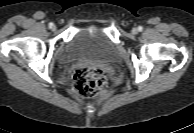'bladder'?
<instances>
[{
  "mask_svg": "<svg viewBox=\"0 0 194 133\" xmlns=\"http://www.w3.org/2000/svg\"><path fill=\"white\" fill-rule=\"evenodd\" d=\"M117 59L116 44L103 29L98 27H85L77 31L60 56L63 63L78 61L110 63Z\"/></svg>",
  "mask_w": 194,
  "mask_h": 133,
  "instance_id": "bladder-1",
  "label": "bladder"
}]
</instances>
